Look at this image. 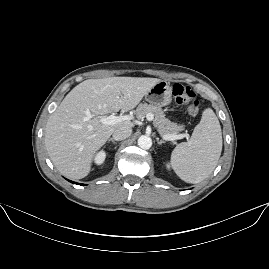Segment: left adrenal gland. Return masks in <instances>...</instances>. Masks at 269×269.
Segmentation results:
<instances>
[{"instance_id": "1", "label": "left adrenal gland", "mask_w": 269, "mask_h": 269, "mask_svg": "<svg viewBox=\"0 0 269 269\" xmlns=\"http://www.w3.org/2000/svg\"><path fill=\"white\" fill-rule=\"evenodd\" d=\"M157 144L161 146L162 144H166V141H160L159 138L156 137Z\"/></svg>"}]
</instances>
